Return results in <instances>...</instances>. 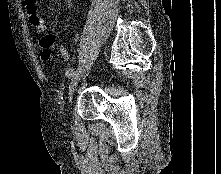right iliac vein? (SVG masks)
I'll return each mask as SVG.
<instances>
[{
	"mask_svg": "<svg viewBox=\"0 0 221 174\" xmlns=\"http://www.w3.org/2000/svg\"><path fill=\"white\" fill-rule=\"evenodd\" d=\"M81 68H79L72 76L71 78V82H70V85H69V92H68V104L71 103L72 101V98H73V94L75 92V89L77 87V84L80 80V77H81ZM68 108H69V105H68Z\"/></svg>",
	"mask_w": 221,
	"mask_h": 174,
	"instance_id": "obj_1",
	"label": "right iliac vein"
}]
</instances>
